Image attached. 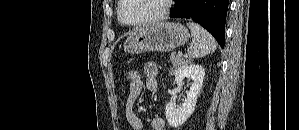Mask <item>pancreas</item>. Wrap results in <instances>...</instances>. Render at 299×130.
Segmentation results:
<instances>
[{
	"label": "pancreas",
	"mask_w": 299,
	"mask_h": 130,
	"mask_svg": "<svg viewBox=\"0 0 299 130\" xmlns=\"http://www.w3.org/2000/svg\"><path fill=\"white\" fill-rule=\"evenodd\" d=\"M170 61L172 63V72H174L177 68H179L182 64L185 63L183 59H181L178 55L175 53H172L170 56Z\"/></svg>",
	"instance_id": "obj_1"
}]
</instances>
